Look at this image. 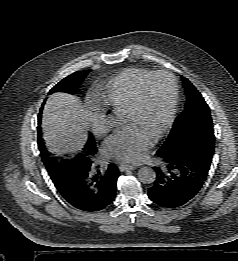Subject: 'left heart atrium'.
Wrapping results in <instances>:
<instances>
[{"instance_id": "obj_1", "label": "left heart atrium", "mask_w": 238, "mask_h": 261, "mask_svg": "<svg viewBox=\"0 0 238 261\" xmlns=\"http://www.w3.org/2000/svg\"><path fill=\"white\" fill-rule=\"evenodd\" d=\"M153 138L138 126H128L108 138L105 151L120 161L138 163L152 146Z\"/></svg>"}]
</instances>
